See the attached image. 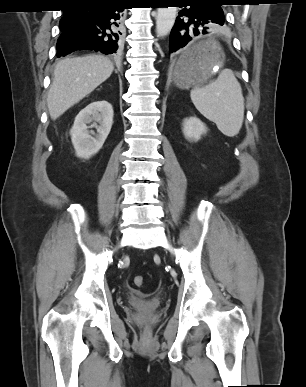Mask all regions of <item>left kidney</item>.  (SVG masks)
I'll use <instances>...</instances> for the list:
<instances>
[{
	"label": "left kidney",
	"instance_id": "5707ae66",
	"mask_svg": "<svg viewBox=\"0 0 306 387\" xmlns=\"http://www.w3.org/2000/svg\"><path fill=\"white\" fill-rule=\"evenodd\" d=\"M207 132L206 125L197 117H189L183 121V133L188 140L198 141Z\"/></svg>",
	"mask_w": 306,
	"mask_h": 387
}]
</instances>
